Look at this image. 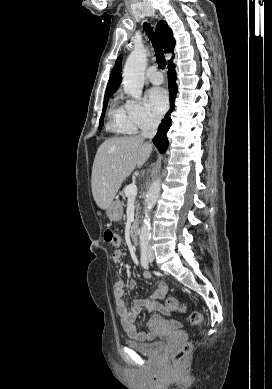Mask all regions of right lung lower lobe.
<instances>
[{
    "label": "right lung lower lobe",
    "mask_w": 272,
    "mask_h": 389,
    "mask_svg": "<svg viewBox=\"0 0 272 389\" xmlns=\"http://www.w3.org/2000/svg\"><path fill=\"white\" fill-rule=\"evenodd\" d=\"M175 66L171 62L168 66V87L170 92V110L165 115L164 119L162 120V123L158 127V132L156 136L152 139L154 145L157 147L160 153H164L167 150L168 147V139L166 136V133L168 132L170 126H171V118L170 114L174 110V99L177 94V84H176V72H175Z\"/></svg>",
    "instance_id": "1"
}]
</instances>
